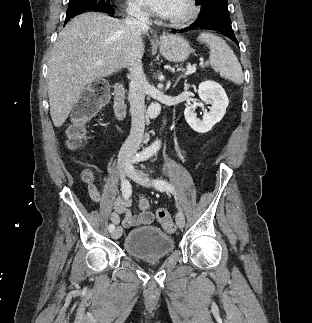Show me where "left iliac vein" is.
Listing matches in <instances>:
<instances>
[{
  "label": "left iliac vein",
  "instance_id": "1",
  "mask_svg": "<svg viewBox=\"0 0 312 323\" xmlns=\"http://www.w3.org/2000/svg\"><path fill=\"white\" fill-rule=\"evenodd\" d=\"M131 177L134 181H137L146 187L152 186L151 180L148 179V176L143 171L134 172L131 174ZM176 224L179 228H183L185 225V218L181 211L176 215Z\"/></svg>",
  "mask_w": 312,
  "mask_h": 323
}]
</instances>
